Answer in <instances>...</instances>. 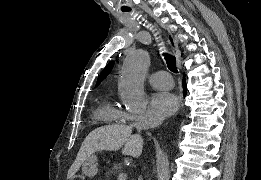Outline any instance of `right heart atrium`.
Instances as JSON below:
<instances>
[{
    "label": "right heart atrium",
    "instance_id": "obj_1",
    "mask_svg": "<svg viewBox=\"0 0 261 180\" xmlns=\"http://www.w3.org/2000/svg\"><path fill=\"white\" fill-rule=\"evenodd\" d=\"M127 121L131 123L132 127H143V124L139 122L138 120L131 118L130 116L125 117Z\"/></svg>",
    "mask_w": 261,
    "mask_h": 180
}]
</instances>
